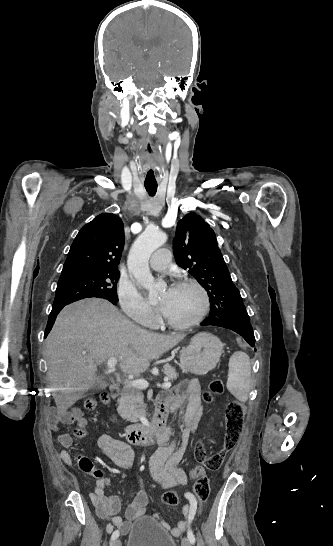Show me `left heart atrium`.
<instances>
[{
	"mask_svg": "<svg viewBox=\"0 0 333 546\" xmlns=\"http://www.w3.org/2000/svg\"><path fill=\"white\" fill-rule=\"evenodd\" d=\"M171 291H172V289H169V290H168L169 293H170ZM166 306H167L166 302H162L161 305H160V308H161V310H162L164 313H165V311H166Z\"/></svg>",
	"mask_w": 333,
	"mask_h": 546,
	"instance_id": "1",
	"label": "left heart atrium"
}]
</instances>
